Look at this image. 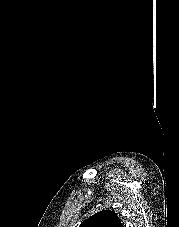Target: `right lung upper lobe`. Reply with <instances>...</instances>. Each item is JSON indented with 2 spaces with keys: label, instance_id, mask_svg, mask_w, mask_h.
I'll use <instances>...</instances> for the list:
<instances>
[{
  "label": "right lung upper lobe",
  "instance_id": "right-lung-upper-lobe-1",
  "mask_svg": "<svg viewBox=\"0 0 179 227\" xmlns=\"http://www.w3.org/2000/svg\"><path fill=\"white\" fill-rule=\"evenodd\" d=\"M79 227H123V225L114 211L103 210L86 219Z\"/></svg>",
  "mask_w": 179,
  "mask_h": 227
}]
</instances>
